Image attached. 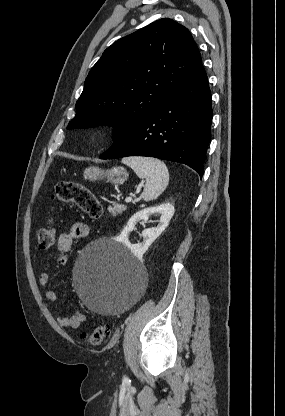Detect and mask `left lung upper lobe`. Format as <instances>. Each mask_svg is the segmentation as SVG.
I'll return each mask as SVG.
<instances>
[{"instance_id": "obj_1", "label": "left lung upper lobe", "mask_w": 285, "mask_h": 416, "mask_svg": "<svg viewBox=\"0 0 285 416\" xmlns=\"http://www.w3.org/2000/svg\"><path fill=\"white\" fill-rule=\"evenodd\" d=\"M202 64L184 26L169 18L116 41L92 67L67 129L114 126L118 140L185 84Z\"/></svg>"}]
</instances>
